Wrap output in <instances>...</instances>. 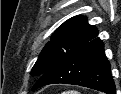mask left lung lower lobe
<instances>
[{"label": "left lung lower lobe", "mask_w": 121, "mask_h": 94, "mask_svg": "<svg viewBox=\"0 0 121 94\" xmlns=\"http://www.w3.org/2000/svg\"><path fill=\"white\" fill-rule=\"evenodd\" d=\"M55 83L75 84L116 94L102 41L96 37L62 58L41 75L32 90Z\"/></svg>", "instance_id": "0a47b994"}]
</instances>
